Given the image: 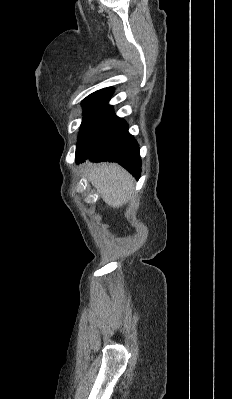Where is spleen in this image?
Listing matches in <instances>:
<instances>
[{"mask_svg":"<svg viewBox=\"0 0 232 399\" xmlns=\"http://www.w3.org/2000/svg\"><path fill=\"white\" fill-rule=\"evenodd\" d=\"M88 176L89 182L101 194L105 203L111 207H120L130 200L134 180L121 166H117V164L92 166Z\"/></svg>","mask_w":232,"mask_h":399,"instance_id":"obj_1","label":"spleen"}]
</instances>
